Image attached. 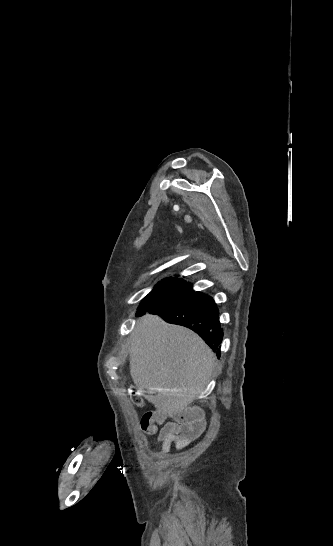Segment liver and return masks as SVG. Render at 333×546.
Masks as SVG:
<instances>
[{
	"label": "liver",
	"mask_w": 333,
	"mask_h": 546,
	"mask_svg": "<svg viewBox=\"0 0 333 546\" xmlns=\"http://www.w3.org/2000/svg\"><path fill=\"white\" fill-rule=\"evenodd\" d=\"M215 359L189 329L149 314L137 322L130 345V374L161 414L193 409L189 405L207 385Z\"/></svg>",
	"instance_id": "obj_1"
}]
</instances>
